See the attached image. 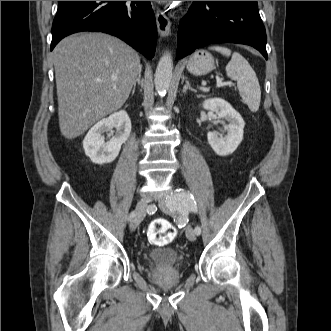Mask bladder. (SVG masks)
<instances>
[{"mask_svg": "<svg viewBox=\"0 0 331 331\" xmlns=\"http://www.w3.org/2000/svg\"><path fill=\"white\" fill-rule=\"evenodd\" d=\"M146 261L153 268H175L181 266L182 256L174 248H157L147 254Z\"/></svg>", "mask_w": 331, "mask_h": 331, "instance_id": "obj_1", "label": "bladder"}]
</instances>
